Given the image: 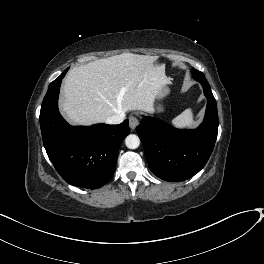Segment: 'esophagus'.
I'll list each match as a JSON object with an SVG mask.
<instances>
[{
	"label": "esophagus",
	"mask_w": 264,
	"mask_h": 264,
	"mask_svg": "<svg viewBox=\"0 0 264 264\" xmlns=\"http://www.w3.org/2000/svg\"><path fill=\"white\" fill-rule=\"evenodd\" d=\"M139 124V120L135 116L129 117V126L131 130H134Z\"/></svg>",
	"instance_id": "1"
}]
</instances>
